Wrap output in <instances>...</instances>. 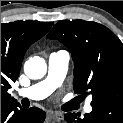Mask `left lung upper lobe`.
<instances>
[{
  "label": "left lung upper lobe",
  "instance_id": "1",
  "mask_svg": "<svg viewBox=\"0 0 123 123\" xmlns=\"http://www.w3.org/2000/svg\"><path fill=\"white\" fill-rule=\"evenodd\" d=\"M58 39L74 61L73 89L92 95L91 106H123V44L107 27L92 21H60L47 35Z\"/></svg>",
  "mask_w": 123,
  "mask_h": 123
}]
</instances>
